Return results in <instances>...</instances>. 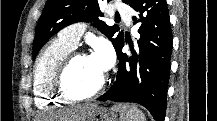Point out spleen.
<instances>
[{"instance_id":"1","label":"spleen","mask_w":217,"mask_h":121,"mask_svg":"<svg viewBox=\"0 0 217 121\" xmlns=\"http://www.w3.org/2000/svg\"><path fill=\"white\" fill-rule=\"evenodd\" d=\"M112 109L120 112L121 121H146L142 111L134 105L117 104Z\"/></svg>"}]
</instances>
